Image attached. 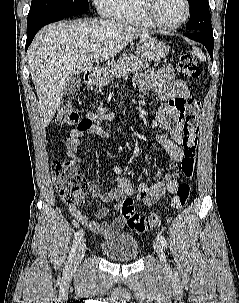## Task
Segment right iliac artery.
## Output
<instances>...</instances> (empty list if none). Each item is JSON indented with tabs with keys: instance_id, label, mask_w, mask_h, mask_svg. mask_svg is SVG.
I'll return each instance as SVG.
<instances>
[{
	"instance_id": "obj_1",
	"label": "right iliac artery",
	"mask_w": 239,
	"mask_h": 303,
	"mask_svg": "<svg viewBox=\"0 0 239 303\" xmlns=\"http://www.w3.org/2000/svg\"><path fill=\"white\" fill-rule=\"evenodd\" d=\"M83 235H84L83 229L79 230L75 235V238L73 240V245H72V248H71V252L69 254L68 261H67V263L65 265V268H64L65 273H68L70 268L72 267L73 258L75 256L76 249H77L79 243L81 242V239H82Z\"/></svg>"
}]
</instances>
